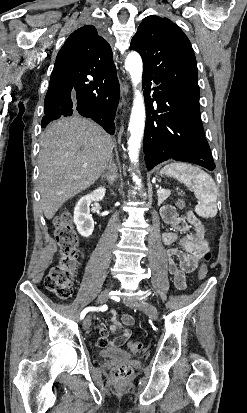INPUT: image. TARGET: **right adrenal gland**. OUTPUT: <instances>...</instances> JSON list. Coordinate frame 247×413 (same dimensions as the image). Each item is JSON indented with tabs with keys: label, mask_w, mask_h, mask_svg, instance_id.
Returning a JSON list of instances; mask_svg holds the SVG:
<instances>
[{
	"label": "right adrenal gland",
	"mask_w": 247,
	"mask_h": 413,
	"mask_svg": "<svg viewBox=\"0 0 247 413\" xmlns=\"http://www.w3.org/2000/svg\"><path fill=\"white\" fill-rule=\"evenodd\" d=\"M110 164H113V160H110ZM101 178H106L110 186H112L116 178V170H113V168H107V170H104V172H102Z\"/></svg>",
	"instance_id": "obj_1"
}]
</instances>
